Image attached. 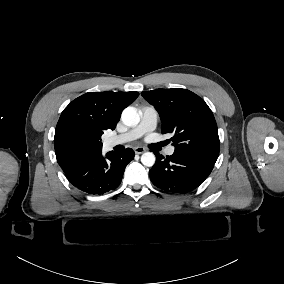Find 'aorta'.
Here are the masks:
<instances>
[{
    "label": "aorta",
    "instance_id": "obj_1",
    "mask_svg": "<svg viewBox=\"0 0 284 284\" xmlns=\"http://www.w3.org/2000/svg\"><path fill=\"white\" fill-rule=\"evenodd\" d=\"M122 122L129 127L136 126L140 122V116L134 107H127L123 110L121 116ZM155 155L152 152H145L141 156V162L144 166L152 167L155 164Z\"/></svg>",
    "mask_w": 284,
    "mask_h": 284
}]
</instances>
